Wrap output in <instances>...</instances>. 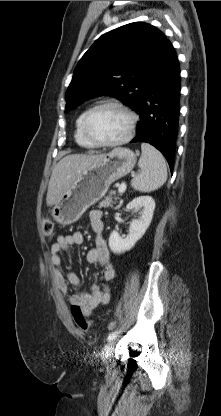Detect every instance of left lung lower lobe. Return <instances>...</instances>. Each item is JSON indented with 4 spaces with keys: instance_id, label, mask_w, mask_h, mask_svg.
<instances>
[{
    "instance_id": "1",
    "label": "left lung lower lobe",
    "mask_w": 221,
    "mask_h": 416,
    "mask_svg": "<svg viewBox=\"0 0 221 416\" xmlns=\"http://www.w3.org/2000/svg\"><path fill=\"white\" fill-rule=\"evenodd\" d=\"M179 99L178 58L167 40L153 71L152 81L140 101L137 135L131 142H147L156 147L165 156L171 172L178 132Z\"/></svg>"
}]
</instances>
